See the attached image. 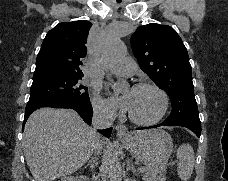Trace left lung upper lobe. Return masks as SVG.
<instances>
[{"label": "left lung upper lobe", "instance_id": "1", "mask_svg": "<svg viewBox=\"0 0 228 181\" xmlns=\"http://www.w3.org/2000/svg\"><path fill=\"white\" fill-rule=\"evenodd\" d=\"M131 45L140 68L171 99L172 112L163 122L201 127L187 49L176 31L156 23L140 26Z\"/></svg>", "mask_w": 228, "mask_h": 181}]
</instances>
